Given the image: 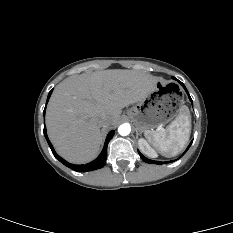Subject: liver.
<instances>
[{
  "mask_svg": "<svg viewBox=\"0 0 233 233\" xmlns=\"http://www.w3.org/2000/svg\"><path fill=\"white\" fill-rule=\"evenodd\" d=\"M158 78L135 70L112 69L74 75L54 90L46 111L48 136L56 151L75 164L92 161L104 129L114 127L122 109L139 102L155 88Z\"/></svg>",
  "mask_w": 233,
  "mask_h": 233,
  "instance_id": "obj_1",
  "label": "liver"
}]
</instances>
